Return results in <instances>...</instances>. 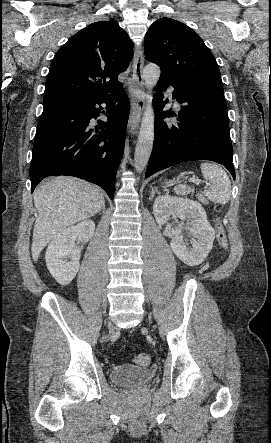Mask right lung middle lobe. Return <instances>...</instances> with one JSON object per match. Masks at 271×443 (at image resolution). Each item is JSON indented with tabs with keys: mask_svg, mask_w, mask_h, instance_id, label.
Returning a JSON list of instances; mask_svg holds the SVG:
<instances>
[{
	"mask_svg": "<svg viewBox=\"0 0 271 443\" xmlns=\"http://www.w3.org/2000/svg\"><path fill=\"white\" fill-rule=\"evenodd\" d=\"M48 106H51V105H44V107H48Z\"/></svg>",
	"mask_w": 271,
	"mask_h": 443,
	"instance_id": "right-lung-middle-lobe-1",
	"label": "right lung middle lobe"
}]
</instances>
